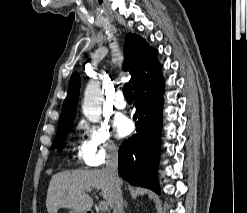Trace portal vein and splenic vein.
I'll list each match as a JSON object with an SVG mask.
<instances>
[{
	"instance_id": "obj_1",
	"label": "portal vein and splenic vein",
	"mask_w": 247,
	"mask_h": 213,
	"mask_svg": "<svg viewBox=\"0 0 247 213\" xmlns=\"http://www.w3.org/2000/svg\"><path fill=\"white\" fill-rule=\"evenodd\" d=\"M99 208H100V210L103 211V212L107 211V210H108V204H107V202L101 201V202L99 203Z\"/></svg>"
}]
</instances>
